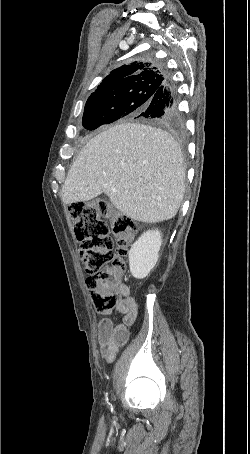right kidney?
I'll return each instance as SVG.
<instances>
[{
    "instance_id": "ca27d5eb",
    "label": "right kidney",
    "mask_w": 250,
    "mask_h": 454,
    "mask_svg": "<svg viewBox=\"0 0 250 454\" xmlns=\"http://www.w3.org/2000/svg\"><path fill=\"white\" fill-rule=\"evenodd\" d=\"M162 244L160 231L148 230L131 246L129 267L133 277L145 278L158 261V252Z\"/></svg>"
}]
</instances>
